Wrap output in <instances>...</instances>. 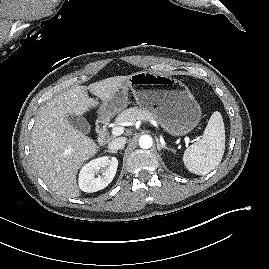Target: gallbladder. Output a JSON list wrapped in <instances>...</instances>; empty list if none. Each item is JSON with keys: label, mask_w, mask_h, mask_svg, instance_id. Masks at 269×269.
<instances>
[{"label": "gallbladder", "mask_w": 269, "mask_h": 269, "mask_svg": "<svg viewBox=\"0 0 269 269\" xmlns=\"http://www.w3.org/2000/svg\"><path fill=\"white\" fill-rule=\"evenodd\" d=\"M67 120L74 128L81 131L82 133L84 134L90 133L91 126L89 125L88 121L83 116L68 114Z\"/></svg>", "instance_id": "1"}]
</instances>
